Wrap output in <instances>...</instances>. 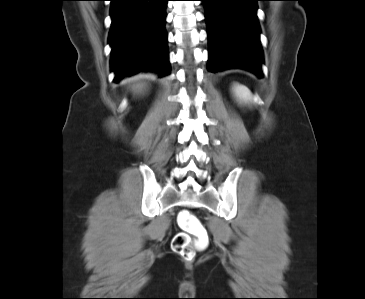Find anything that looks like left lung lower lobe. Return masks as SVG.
Returning a JSON list of instances; mask_svg holds the SVG:
<instances>
[{"label": "left lung lower lobe", "instance_id": "left-lung-lower-lobe-1", "mask_svg": "<svg viewBox=\"0 0 365 299\" xmlns=\"http://www.w3.org/2000/svg\"><path fill=\"white\" fill-rule=\"evenodd\" d=\"M201 1L208 26V70L242 68L262 77L263 54L256 15L260 0Z\"/></svg>", "mask_w": 365, "mask_h": 299}]
</instances>
